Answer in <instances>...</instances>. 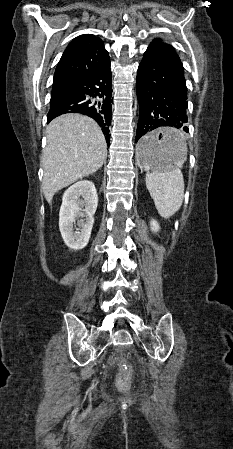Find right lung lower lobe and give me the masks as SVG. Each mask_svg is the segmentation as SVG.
Masks as SVG:
<instances>
[{"label": "right lung lower lobe", "mask_w": 233, "mask_h": 449, "mask_svg": "<svg viewBox=\"0 0 233 449\" xmlns=\"http://www.w3.org/2000/svg\"><path fill=\"white\" fill-rule=\"evenodd\" d=\"M71 95L50 102L47 120L65 113H81L93 118L101 127L109 146V127L112 119V73L110 60L100 69L74 83Z\"/></svg>", "instance_id": "obj_1"}]
</instances>
